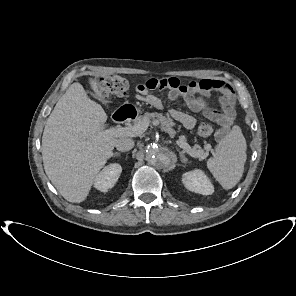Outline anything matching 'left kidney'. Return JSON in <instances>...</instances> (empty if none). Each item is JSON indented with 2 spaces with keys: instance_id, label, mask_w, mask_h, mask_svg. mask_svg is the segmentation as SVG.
<instances>
[{
  "instance_id": "5707ae66",
  "label": "left kidney",
  "mask_w": 296,
  "mask_h": 296,
  "mask_svg": "<svg viewBox=\"0 0 296 296\" xmlns=\"http://www.w3.org/2000/svg\"><path fill=\"white\" fill-rule=\"evenodd\" d=\"M182 182L188 190L195 193L211 195L214 192L212 183L201 170H193L184 173Z\"/></svg>"
}]
</instances>
